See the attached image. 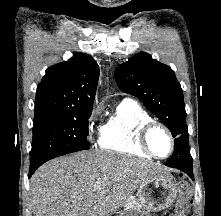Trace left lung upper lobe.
I'll return each mask as SVG.
<instances>
[{
  "instance_id": "5c2ea615",
  "label": "left lung upper lobe",
  "mask_w": 221,
  "mask_h": 216,
  "mask_svg": "<svg viewBox=\"0 0 221 216\" xmlns=\"http://www.w3.org/2000/svg\"><path fill=\"white\" fill-rule=\"evenodd\" d=\"M115 78L123 92L138 97L167 125L175 148L189 150L183 91L169 66L140 53L119 65Z\"/></svg>"
}]
</instances>
